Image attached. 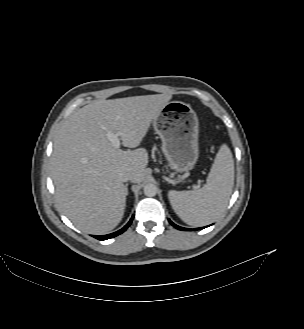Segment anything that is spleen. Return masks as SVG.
<instances>
[{"instance_id": "obj_1", "label": "spleen", "mask_w": 304, "mask_h": 329, "mask_svg": "<svg viewBox=\"0 0 304 329\" xmlns=\"http://www.w3.org/2000/svg\"><path fill=\"white\" fill-rule=\"evenodd\" d=\"M234 185V160L227 145L216 154L206 184L192 191L168 192L170 204L179 218L191 226L213 222L226 209Z\"/></svg>"}]
</instances>
